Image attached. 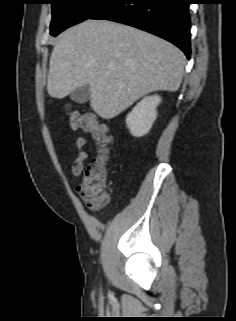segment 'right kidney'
<instances>
[{"instance_id":"1","label":"right kidney","mask_w":236,"mask_h":321,"mask_svg":"<svg viewBox=\"0 0 236 321\" xmlns=\"http://www.w3.org/2000/svg\"><path fill=\"white\" fill-rule=\"evenodd\" d=\"M162 99L159 95L143 98L127 115L126 125L135 137L146 135L157 118V106Z\"/></svg>"}]
</instances>
